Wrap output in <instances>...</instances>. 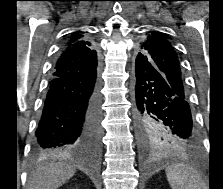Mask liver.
<instances>
[{
    "mask_svg": "<svg viewBox=\"0 0 223 189\" xmlns=\"http://www.w3.org/2000/svg\"><path fill=\"white\" fill-rule=\"evenodd\" d=\"M76 172L71 164L50 163L32 171L28 178L27 189H57Z\"/></svg>",
    "mask_w": 223,
    "mask_h": 189,
    "instance_id": "6515ba94",
    "label": "liver"
}]
</instances>
